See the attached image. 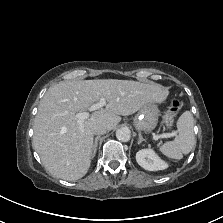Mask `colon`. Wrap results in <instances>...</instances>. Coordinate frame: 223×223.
Returning a JSON list of instances; mask_svg holds the SVG:
<instances>
[{
	"mask_svg": "<svg viewBox=\"0 0 223 223\" xmlns=\"http://www.w3.org/2000/svg\"><path fill=\"white\" fill-rule=\"evenodd\" d=\"M180 108V102L177 99H173L170 102L168 110L164 117V123L166 126H171L174 122V118Z\"/></svg>",
	"mask_w": 223,
	"mask_h": 223,
	"instance_id": "1",
	"label": "colon"
}]
</instances>
